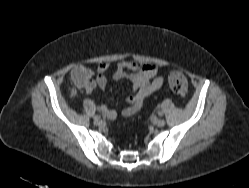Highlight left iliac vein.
I'll list each match as a JSON object with an SVG mask.
<instances>
[{
    "mask_svg": "<svg viewBox=\"0 0 249 188\" xmlns=\"http://www.w3.org/2000/svg\"><path fill=\"white\" fill-rule=\"evenodd\" d=\"M155 124L158 127H163L165 125V120L164 119H158V120H156Z\"/></svg>",
    "mask_w": 249,
    "mask_h": 188,
    "instance_id": "1",
    "label": "left iliac vein"
}]
</instances>
